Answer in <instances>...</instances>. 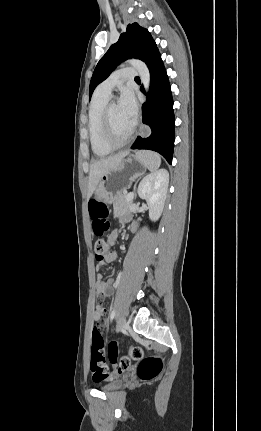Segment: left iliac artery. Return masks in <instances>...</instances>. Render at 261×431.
Instances as JSON below:
<instances>
[{
    "label": "left iliac artery",
    "mask_w": 261,
    "mask_h": 431,
    "mask_svg": "<svg viewBox=\"0 0 261 431\" xmlns=\"http://www.w3.org/2000/svg\"><path fill=\"white\" fill-rule=\"evenodd\" d=\"M115 314H116V311H115V309H114V310H112V311H111V313H110V320H113V319H114Z\"/></svg>",
    "instance_id": "1"
}]
</instances>
